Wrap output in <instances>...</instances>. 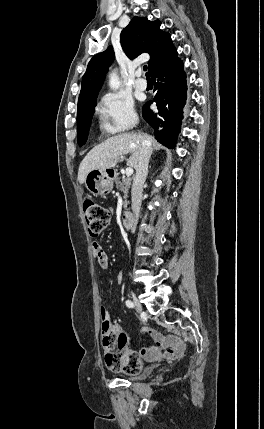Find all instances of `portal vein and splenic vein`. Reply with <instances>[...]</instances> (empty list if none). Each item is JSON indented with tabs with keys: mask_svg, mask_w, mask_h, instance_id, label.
<instances>
[{
	"mask_svg": "<svg viewBox=\"0 0 264 429\" xmlns=\"http://www.w3.org/2000/svg\"><path fill=\"white\" fill-rule=\"evenodd\" d=\"M133 174V168L128 167L126 168V176L130 177Z\"/></svg>",
	"mask_w": 264,
	"mask_h": 429,
	"instance_id": "1",
	"label": "portal vein and splenic vein"
}]
</instances>
